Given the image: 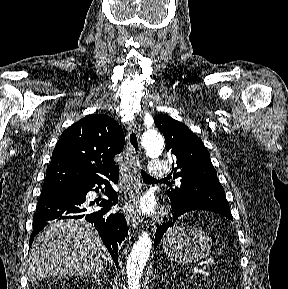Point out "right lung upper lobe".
Masks as SVG:
<instances>
[{
	"label": "right lung upper lobe",
	"mask_w": 288,
	"mask_h": 289,
	"mask_svg": "<svg viewBox=\"0 0 288 289\" xmlns=\"http://www.w3.org/2000/svg\"><path fill=\"white\" fill-rule=\"evenodd\" d=\"M124 143V133L111 117H84L61 134L42 191L75 186L115 172L118 166L113 158Z\"/></svg>",
	"instance_id": "1"
}]
</instances>
